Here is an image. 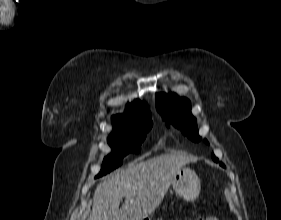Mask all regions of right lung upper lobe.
<instances>
[{"label": "right lung upper lobe", "instance_id": "obj_1", "mask_svg": "<svg viewBox=\"0 0 281 220\" xmlns=\"http://www.w3.org/2000/svg\"><path fill=\"white\" fill-rule=\"evenodd\" d=\"M149 116L151 114L146 105L136 100L127 106L124 114L113 117V125L116 128Z\"/></svg>", "mask_w": 281, "mask_h": 220}]
</instances>
